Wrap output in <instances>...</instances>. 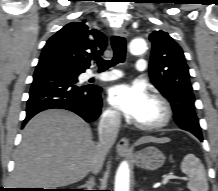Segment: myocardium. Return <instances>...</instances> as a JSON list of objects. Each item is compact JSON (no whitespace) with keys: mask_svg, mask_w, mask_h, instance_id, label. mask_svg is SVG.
<instances>
[{"mask_svg":"<svg viewBox=\"0 0 218 191\" xmlns=\"http://www.w3.org/2000/svg\"><path fill=\"white\" fill-rule=\"evenodd\" d=\"M150 98L155 101L160 109H161V117L159 120L151 123H141L139 121H135V125L137 128L145 131L158 130L165 126H167L173 117V109L170 102L161 94L153 93L150 95Z\"/></svg>","mask_w":218,"mask_h":191,"instance_id":"obj_1","label":"myocardium"}]
</instances>
